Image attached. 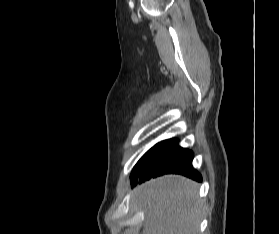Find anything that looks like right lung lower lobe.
Instances as JSON below:
<instances>
[{"instance_id": "1", "label": "right lung lower lobe", "mask_w": 279, "mask_h": 234, "mask_svg": "<svg viewBox=\"0 0 279 234\" xmlns=\"http://www.w3.org/2000/svg\"><path fill=\"white\" fill-rule=\"evenodd\" d=\"M193 153L181 148L175 139L165 140L152 147L138 161L131 174V184L144 182L167 173L185 175L201 181V175L192 167Z\"/></svg>"}]
</instances>
